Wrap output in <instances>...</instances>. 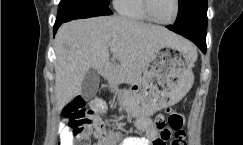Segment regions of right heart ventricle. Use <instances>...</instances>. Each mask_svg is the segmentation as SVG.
<instances>
[{"mask_svg":"<svg viewBox=\"0 0 243 145\" xmlns=\"http://www.w3.org/2000/svg\"><path fill=\"white\" fill-rule=\"evenodd\" d=\"M115 7L124 18L139 22L150 21L143 10L142 0H116Z\"/></svg>","mask_w":243,"mask_h":145,"instance_id":"e07e8e85","label":"right heart ventricle"}]
</instances>
